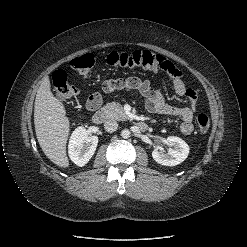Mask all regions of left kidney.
<instances>
[{
    "instance_id": "1",
    "label": "left kidney",
    "mask_w": 247,
    "mask_h": 247,
    "mask_svg": "<svg viewBox=\"0 0 247 247\" xmlns=\"http://www.w3.org/2000/svg\"><path fill=\"white\" fill-rule=\"evenodd\" d=\"M166 144L169 146L167 153L158 149H154L152 152V157L157 163L165 166H176L188 157L189 146L181 138L169 136L166 139Z\"/></svg>"
}]
</instances>
